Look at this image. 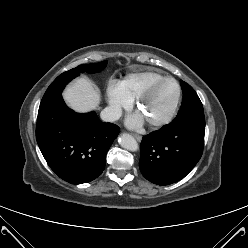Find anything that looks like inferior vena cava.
Here are the masks:
<instances>
[{
	"label": "inferior vena cava",
	"mask_w": 248,
	"mask_h": 248,
	"mask_svg": "<svg viewBox=\"0 0 248 248\" xmlns=\"http://www.w3.org/2000/svg\"><path fill=\"white\" fill-rule=\"evenodd\" d=\"M100 116L106 122H114L120 118L121 111L114 107H106L101 111Z\"/></svg>",
	"instance_id": "obj_1"
}]
</instances>
